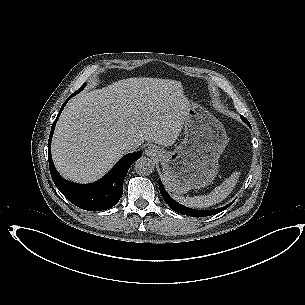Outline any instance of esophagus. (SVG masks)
<instances>
[{"instance_id": "1", "label": "esophagus", "mask_w": 305, "mask_h": 305, "mask_svg": "<svg viewBox=\"0 0 305 305\" xmlns=\"http://www.w3.org/2000/svg\"><path fill=\"white\" fill-rule=\"evenodd\" d=\"M158 150L155 146H148L146 149H145V154L147 156H155L157 154Z\"/></svg>"}]
</instances>
